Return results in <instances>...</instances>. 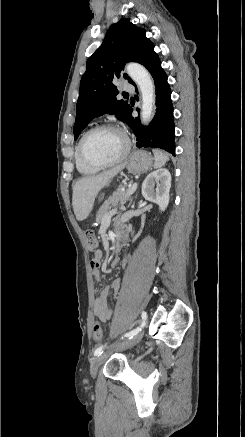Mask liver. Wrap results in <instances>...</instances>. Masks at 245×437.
<instances>
[{"mask_svg": "<svg viewBox=\"0 0 245 437\" xmlns=\"http://www.w3.org/2000/svg\"><path fill=\"white\" fill-rule=\"evenodd\" d=\"M124 164L96 176H87L73 186L72 206L78 221L85 220L91 213L95 198L123 168Z\"/></svg>", "mask_w": 245, "mask_h": 437, "instance_id": "liver-1", "label": "liver"}]
</instances>
